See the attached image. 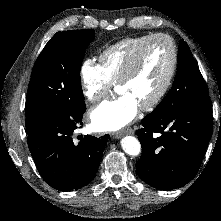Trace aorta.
Listing matches in <instances>:
<instances>
[{
    "instance_id": "obj_1",
    "label": "aorta",
    "mask_w": 221,
    "mask_h": 221,
    "mask_svg": "<svg viewBox=\"0 0 221 221\" xmlns=\"http://www.w3.org/2000/svg\"><path fill=\"white\" fill-rule=\"evenodd\" d=\"M123 150L132 156H137L141 151L140 142L133 136H126L121 140Z\"/></svg>"
}]
</instances>
